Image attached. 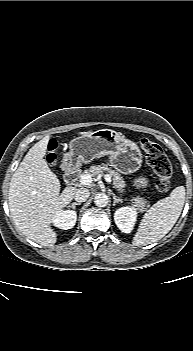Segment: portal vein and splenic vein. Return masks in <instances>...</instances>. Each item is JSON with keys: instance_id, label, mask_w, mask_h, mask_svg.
Masks as SVG:
<instances>
[{"instance_id": "obj_1", "label": "portal vein and splenic vein", "mask_w": 193, "mask_h": 351, "mask_svg": "<svg viewBox=\"0 0 193 351\" xmlns=\"http://www.w3.org/2000/svg\"><path fill=\"white\" fill-rule=\"evenodd\" d=\"M104 179L107 183H111V177L108 174L104 175ZM92 176L90 174H84L80 176V183L82 185H89L92 183Z\"/></svg>"}]
</instances>
